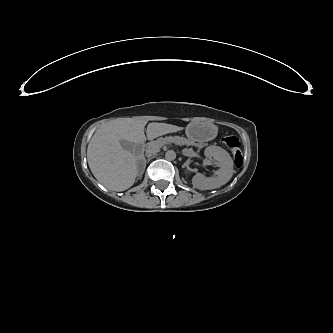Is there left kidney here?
Segmentation results:
<instances>
[{"mask_svg":"<svg viewBox=\"0 0 333 333\" xmlns=\"http://www.w3.org/2000/svg\"><path fill=\"white\" fill-rule=\"evenodd\" d=\"M204 155L217 170L209 176L199 172L196 173L192 178L193 186L199 190H212L225 185L233 174V164L227 156V152L224 149L216 147L213 151L209 149L205 150Z\"/></svg>","mask_w":333,"mask_h":333,"instance_id":"left-kidney-1","label":"left kidney"}]
</instances>
